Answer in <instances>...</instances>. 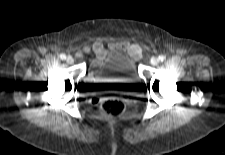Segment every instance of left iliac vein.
<instances>
[{"label":"left iliac vein","instance_id":"4c4485c4","mask_svg":"<svg viewBox=\"0 0 225 155\" xmlns=\"http://www.w3.org/2000/svg\"><path fill=\"white\" fill-rule=\"evenodd\" d=\"M158 63H159V59L158 58L154 57V58L151 59V64L152 65H157Z\"/></svg>","mask_w":225,"mask_h":155}]
</instances>
